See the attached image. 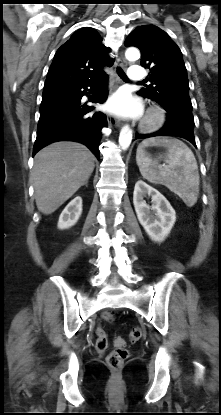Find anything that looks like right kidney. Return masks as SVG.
<instances>
[{"label":"right kidney","instance_id":"ca27d5eb","mask_svg":"<svg viewBox=\"0 0 221 415\" xmlns=\"http://www.w3.org/2000/svg\"><path fill=\"white\" fill-rule=\"evenodd\" d=\"M82 213L81 197L74 198L62 211L59 221V229H68L76 224Z\"/></svg>","mask_w":221,"mask_h":415}]
</instances>
